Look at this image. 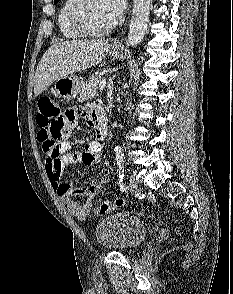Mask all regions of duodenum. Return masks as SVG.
I'll list each match as a JSON object with an SVG mask.
<instances>
[{"label": "duodenum", "instance_id": "duodenum-1", "mask_svg": "<svg viewBox=\"0 0 233 294\" xmlns=\"http://www.w3.org/2000/svg\"><path fill=\"white\" fill-rule=\"evenodd\" d=\"M96 120V135L100 140H103L107 135L106 116L102 108L95 110Z\"/></svg>", "mask_w": 233, "mask_h": 294}]
</instances>
